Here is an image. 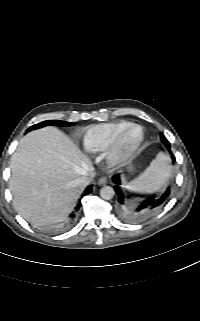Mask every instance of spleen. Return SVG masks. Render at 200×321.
Instances as JSON below:
<instances>
[{
	"label": "spleen",
	"mask_w": 200,
	"mask_h": 321,
	"mask_svg": "<svg viewBox=\"0 0 200 321\" xmlns=\"http://www.w3.org/2000/svg\"><path fill=\"white\" fill-rule=\"evenodd\" d=\"M171 175L169 155L159 152L145 171L128 183L127 188L138 193H154L166 185Z\"/></svg>",
	"instance_id": "3e777b00"
}]
</instances>
